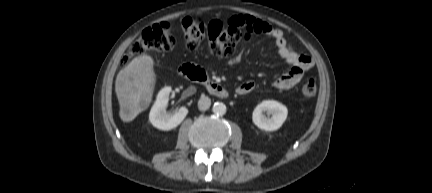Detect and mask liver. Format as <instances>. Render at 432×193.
Masks as SVG:
<instances>
[{"label":"liver","mask_w":432,"mask_h":193,"mask_svg":"<svg viewBox=\"0 0 432 193\" xmlns=\"http://www.w3.org/2000/svg\"><path fill=\"white\" fill-rule=\"evenodd\" d=\"M153 65L149 55H141L117 74L115 92L122 121L134 120L151 103L156 82Z\"/></svg>","instance_id":"1"}]
</instances>
